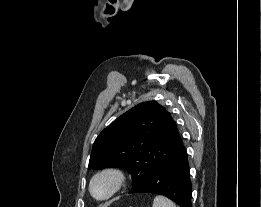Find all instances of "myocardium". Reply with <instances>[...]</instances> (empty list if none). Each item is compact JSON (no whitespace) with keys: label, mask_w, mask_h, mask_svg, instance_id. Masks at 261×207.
I'll list each match as a JSON object with an SVG mask.
<instances>
[{"label":"myocardium","mask_w":261,"mask_h":207,"mask_svg":"<svg viewBox=\"0 0 261 207\" xmlns=\"http://www.w3.org/2000/svg\"><path fill=\"white\" fill-rule=\"evenodd\" d=\"M99 179H107L110 181V190L103 197L96 196L93 190L94 183ZM124 182H125V175L120 169L114 167L104 168L92 176L89 182V191L91 196L95 200L106 201L119 192V190L123 187Z\"/></svg>","instance_id":"myocardium-1"}]
</instances>
